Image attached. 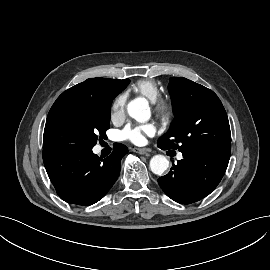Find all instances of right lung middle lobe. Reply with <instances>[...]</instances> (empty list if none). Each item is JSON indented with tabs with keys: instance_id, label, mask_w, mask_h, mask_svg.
<instances>
[{
	"instance_id": "1",
	"label": "right lung middle lobe",
	"mask_w": 270,
	"mask_h": 270,
	"mask_svg": "<svg viewBox=\"0 0 270 270\" xmlns=\"http://www.w3.org/2000/svg\"><path fill=\"white\" fill-rule=\"evenodd\" d=\"M83 98L54 103L44 129L43 150L50 149H92L99 137H104L110 127L112 99Z\"/></svg>"
}]
</instances>
